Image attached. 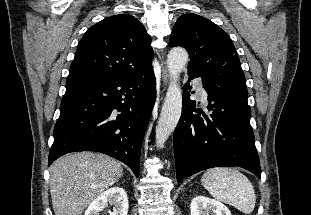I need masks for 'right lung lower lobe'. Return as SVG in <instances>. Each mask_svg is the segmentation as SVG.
Listing matches in <instances>:
<instances>
[{
	"label": "right lung lower lobe",
	"instance_id": "98d812e1",
	"mask_svg": "<svg viewBox=\"0 0 311 215\" xmlns=\"http://www.w3.org/2000/svg\"><path fill=\"white\" fill-rule=\"evenodd\" d=\"M153 70L127 78L93 76L66 81L49 165L76 151L114 157L139 176L140 148L155 102Z\"/></svg>",
	"mask_w": 311,
	"mask_h": 215
}]
</instances>
